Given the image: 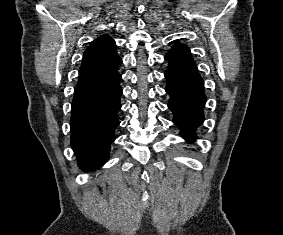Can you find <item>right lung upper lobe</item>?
I'll return each mask as SVG.
<instances>
[{
  "label": "right lung upper lobe",
  "mask_w": 283,
  "mask_h": 235,
  "mask_svg": "<svg viewBox=\"0 0 283 235\" xmlns=\"http://www.w3.org/2000/svg\"><path fill=\"white\" fill-rule=\"evenodd\" d=\"M121 62L115 51L114 40L107 34L102 35L84 52L78 83L111 74Z\"/></svg>",
  "instance_id": "obj_1"
}]
</instances>
